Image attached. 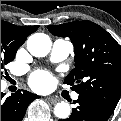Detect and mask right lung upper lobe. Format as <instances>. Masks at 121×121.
I'll list each match as a JSON object with an SVG mask.
<instances>
[{
  "instance_id": "1",
  "label": "right lung upper lobe",
  "mask_w": 121,
  "mask_h": 121,
  "mask_svg": "<svg viewBox=\"0 0 121 121\" xmlns=\"http://www.w3.org/2000/svg\"><path fill=\"white\" fill-rule=\"evenodd\" d=\"M38 26L18 27L11 23L1 20V30H5L18 40L25 42L26 38L37 30Z\"/></svg>"
}]
</instances>
